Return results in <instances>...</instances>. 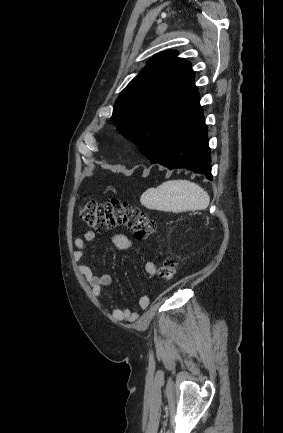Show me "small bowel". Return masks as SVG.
I'll return each mask as SVG.
<instances>
[{"label": "small bowel", "instance_id": "small-bowel-1", "mask_svg": "<svg viewBox=\"0 0 283 433\" xmlns=\"http://www.w3.org/2000/svg\"><path fill=\"white\" fill-rule=\"evenodd\" d=\"M95 239L96 234L91 230H86L83 232L81 237H77L74 240V245L76 248L74 252L75 261H80L83 258L85 254L86 243L93 242ZM111 242L113 247L118 250H126L135 245V242L130 237L122 233L115 234L111 238ZM78 269L91 286L93 293L97 296L103 293L111 284V277L107 274H98L87 265H80ZM145 272L148 276L154 277L157 273V267L155 263L147 262L145 264ZM149 304V296L144 295L139 298L138 306L140 309H146ZM112 317L114 320L119 322H134L138 319L139 314L124 308H113Z\"/></svg>", "mask_w": 283, "mask_h": 433}]
</instances>
